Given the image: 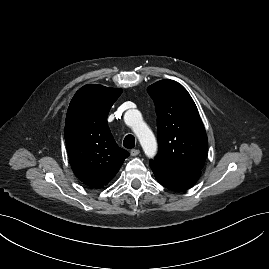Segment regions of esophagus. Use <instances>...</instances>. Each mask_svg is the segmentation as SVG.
Listing matches in <instances>:
<instances>
[{
	"label": "esophagus",
	"instance_id": "obj_1",
	"mask_svg": "<svg viewBox=\"0 0 269 269\" xmlns=\"http://www.w3.org/2000/svg\"><path fill=\"white\" fill-rule=\"evenodd\" d=\"M139 153H140V151L138 149H132L130 151L131 156H137Z\"/></svg>",
	"mask_w": 269,
	"mask_h": 269
}]
</instances>
